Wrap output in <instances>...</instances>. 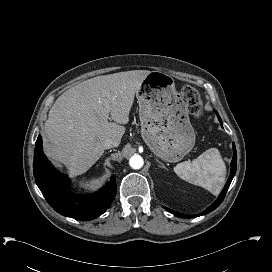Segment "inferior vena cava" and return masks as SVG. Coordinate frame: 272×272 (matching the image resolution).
Here are the masks:
<instances>
[{
    "label": "inferior vena cava",
    "instance_id": "inferior-vena-cava-1",
    "mask_svg": "<svg viewBox=\"0 0 272 272\" xmlns=\"http://www.w3.org/2000/svg\"><path fill=\"white\" fill-rule=\"evenodd\" d=\"M119 145V143L113 139H107L105 140L104 142V148L105 149H110V148H113V147H117Z\"/></svg>",
    "mask_w": 272,
    "mask_h": 272
}]
</instances>
